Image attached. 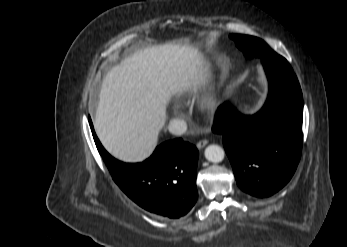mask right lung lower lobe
<instances>
[{
  "label": "right lung lower lobe",
  "instance_id": "right-lung-lower-lobe-1",
  "mask_svg": "<svg viewBox=\"0 0 347 247\" xmlns=\"http://www.w3.org/2000/svg\"><path fill=\"white\" fill-rule=\"evenodd\" d=\"M89 123L96 147L115 183L142 208L169 218L185 215L195 204L198 151L182 139L170 140L156 148L142 163L116 160L98 140Z\"/></svg>",
  "mask_w": 347,
  "mask_h": 247
}]
</instances>
